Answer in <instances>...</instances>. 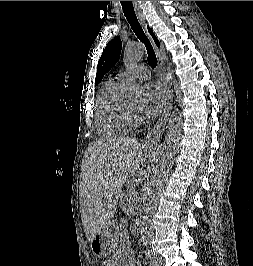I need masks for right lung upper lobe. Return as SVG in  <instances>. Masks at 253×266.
<instances>
[{
    "label": "right lung upper lobe",
    "mask_w": 253,
    "mask_h": 266,
    "mask_svg": "<svg viewBox=\"0 0 253 266\" xmlns=\"http://www.w3.org/2000/svg\"><path fill=\"white\" fill-rule=\"evenodd\" d=\"M149 32L152 34V37H153L155 43L157 44V46H160L159 41L157 40V38L155 37V35L153 34V32L150 28H149Z\"/></svg>",
    "instance_id": "obj_1"
}]
</instances>
